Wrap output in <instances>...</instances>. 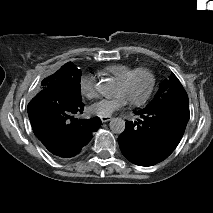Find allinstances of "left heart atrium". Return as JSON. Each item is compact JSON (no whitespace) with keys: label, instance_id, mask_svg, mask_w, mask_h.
Returning a JSON list of instances; mask_svg holds the SVG:
<instances>
[{"label":"left heart atrium","instance_id":"39dd6f15","mask_svg":"<svg viewBox=\"0 0 213 213\" xmlns=\"http://www.w3.org/2000/svg\"><path fill=\"white\" fill-rule=\"evenodd\" d=\"M125 98L122 96L115 97L112 100H105L98 103L94 109L99 111L101 114H110L114 110L120 108L125 104Z\"/></svg>","mask_w":213,"mask_h":213}]
</instances>
